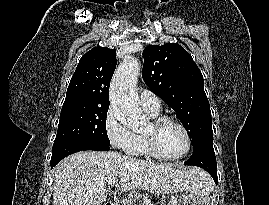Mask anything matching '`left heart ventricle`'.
<instances>
[{"mask_svg":"<svg viewBox=\"0 0 269 205\" xmlns=\"http://www.w3.org/2000/svg\"><path fill=\"white\" fill-rule=\"evenodd\" d=\"M149 130L150 124L143 132H148ZM157 144L160 151L167 156L180 155L187 146L183 131L173 123H166L158 130Z\"/></svg>","mask_w":269,"mask_h":205,"instance_id":"1","label":"left heart ventricle"}]
</instances>
